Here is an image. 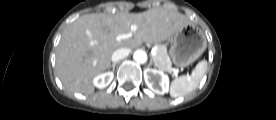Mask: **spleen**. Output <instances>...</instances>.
Returning a JSON list of instances; mask_svg holds the SVG:
<instances>
[{
  "instance_id": "1",
  "label": "spleen",
  "mask_w": 276,
  "mask_h": 120,
  "mask_svg": "<svg viewBox=\"0 0 276 120\" xmlns=\"http://www.w3.org/2000/svg\"><path fill=\"white\" fill-rule=\"evenodd\" d=\"M207 69V61L199 62L189 76H180L173 80L170 87L171 97H182L196 89Z\"/></svg>"
}]
</instances>
